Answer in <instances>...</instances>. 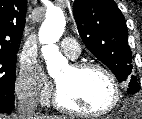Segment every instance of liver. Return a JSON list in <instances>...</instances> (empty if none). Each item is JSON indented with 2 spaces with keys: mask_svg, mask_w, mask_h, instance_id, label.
Here are the masks:
<instances>
[{
  "mask_svg": "<svg viewBox=\"0 0 142 119\" xmlns=\"http://www.w3.org/2000/svg\"><path fill=\"white\" fill-rule=\"evenodd\" d=\"M0 119H12V118L0 115ZM35 119H65V117L49 116V115H39V116H36Z\"/></svg>",
  "mask_w": 142,
  "mask_h": 119,
  "instance_id": "6515ba94",
  "label": "liver"
}]
</instances>
